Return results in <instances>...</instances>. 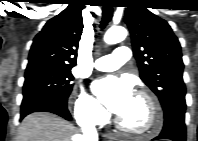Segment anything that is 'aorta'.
<instances>
[{
	"instance_id": "762f6f07",
	"label": "aorta",
	"mask_w": 198,
	"mask_h": 141,
	"mask_svg": "<svg viewBox=\"0 0 198 141\" xmlns=\"http://www.w3.org/2000/svg\"><path fill=\"white\" fill-rule=\"evenodd\" d=\"M127 30L122 26L111 27L104 35L107 44H115L123 41L127 37Z\"/></svg>"
}]
</instances>
